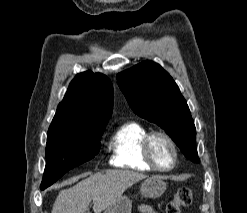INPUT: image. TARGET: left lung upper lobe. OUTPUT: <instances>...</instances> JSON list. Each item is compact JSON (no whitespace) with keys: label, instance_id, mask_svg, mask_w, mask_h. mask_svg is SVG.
Here are the masks:
<instances>
[{"label":"left lung upper lobe","instance_id":"5c2ea615","mask_svg":"<svg viewBox=\"0 0 247 213\" xmlns=\"http://www.w3.org/2000/svg\"><path fill=\"white\" fill-rule=\"evenodd\" d=\"M132 110L158 124L184 155L199 163L196 129L187 102L172 77L157 63L142 62L117 75Z\"/></svg>","mask_w":247,"mask_h":213}]
</instances>
